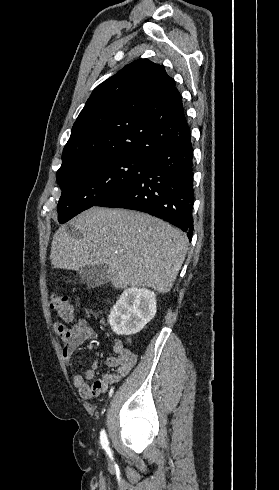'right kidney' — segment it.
Here are the masks:
<instances>
[{"instance_id": "1", "label": "right kidney", "mask_w": 279, "mask_h": 490, "mask_svg": "<svg viewBox=\"0 0 279 490\" xmlns=\"http://www.w3.org/2000/svg\"><path fill=\"white\" fill-rule=\"evenodd\" d=\"M156 312L155 292L146 288H128L110 310L108 322L117 336H132L141 332Z\"/></svg>"}]
</instances>
